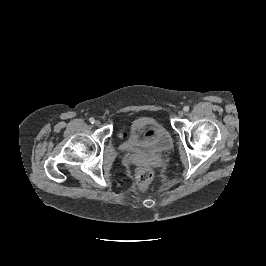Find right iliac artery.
Returning a JSON list of instances; mask_svg holds the SVG:
<instances>
[{"instance_id":"obj_1","label":"right iliac artery","mask_w":266,"mask_h":266,"mask_svg":"<svg viewBox=\"0 0 266 266\" xmlns=\"http://www.w3.org/2000/svg\"><path fill=\"white\" fill-rule=\"evenodd\" d=\"M89 122L93 124L95 122L94 118H90Z\"/></svg>"}]
</instances>
